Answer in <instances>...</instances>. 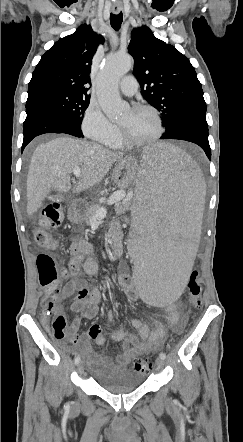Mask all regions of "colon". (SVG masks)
<instances>
[{
  "label": "colon",
  "mask_w": 243,
  "mask_h": 442,
  "mask_svg": "<svg viewBox=\"0 0 243 442\" xmlns=\"http://www.w3.org/2000/svg\"><path fill=\"white\" fill-rule=\"evenodd\" d=\"M64 214L61 205L57 200H50L48 206L42 211L40 221L33 230V239L35 243L46 252L54 250L58 246L57 240L51 232V228L59 227L63 222ZM123 226L128 227L131 224V215L129 213H120L118 216ZM37 267L39 283L45 290L43 300V323L51 325L53 335L56 339H64L69 334L66 331L67 322L63 314L56 313L57 300L59 298L60 288L58 285V270L55 262L48 254L39 255L37 258ZM201 267L195 266L187 280V296L191 306L198 308L200 299L203 297L202 284L200 282ZM53 316V318H51ZM152 363L142 357H133L131 370L134 373L145 375L152 370Z\"/></svg>",
  "instance_id": "1"
}]
</instances>
